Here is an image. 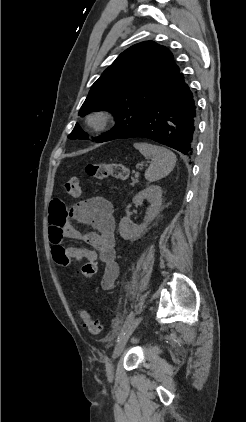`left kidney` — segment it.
<instances>
[{"label": "left kidney", "mask_w": 246, "mask_h": 422, "mask_svg": "<svg viewBox=\"0 0 246 422\" xmlns=\"http://www.w3.org/2000/svg\"><path fill=\"white\" fill-rule=\"evenodd\" d=\"M144 199H147L150 206L146 212V217L141 225L134 224L129 217H123L119 223V233L124 240H135L139 238L144 231L158 215L162 203V188L158 185L147 186L142 191L138 192L134 198L133 203L141 206Z\"/></svg>", "instance_id": "1"}]
</instances>
